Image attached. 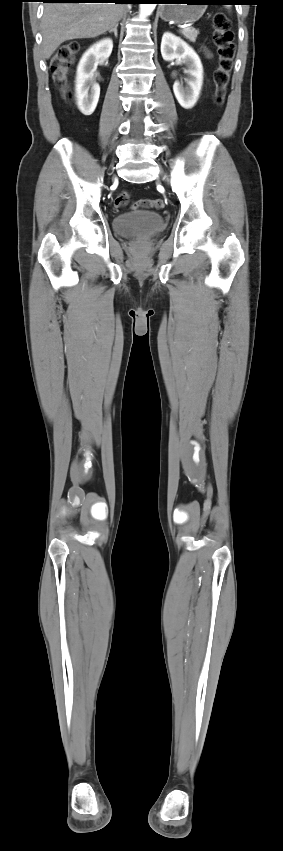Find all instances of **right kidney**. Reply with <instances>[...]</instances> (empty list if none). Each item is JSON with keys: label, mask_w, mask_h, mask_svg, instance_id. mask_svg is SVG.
<instances>
[{"label": "right kidney", "mask_w": 283, "mask_h": 851, "mask_svg": "<svg viewBox=\"0 0 283 851\" xmlns=\"http://www.w3.org/2000/svg\"><path fill=\"white\" fill-rule=\"evenodd\" d=\"M113 49L111 39H103L93 44L82 56L76 75V100L82 114L91 115L97 106L100 86L93 81L99 59H108Z\"/></svg>", "instance_id": "1"}]
</instances>
